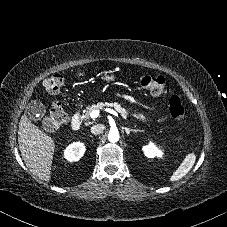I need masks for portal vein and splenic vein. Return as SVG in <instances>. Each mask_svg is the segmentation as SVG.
I'll use <instances>...</instances> for the list:
<instances>
[{
	"instance_id": "obj_1",
	"label": "portal vein and splenic vein",
	"mask_w": 227,
	"mask_h": 227,
	"mask_svg": "<svg viewBox=\"0 0 227 227\" xmlns=\"http://www.w3.org/2000/svg\"><path fill=\"white\" fill-rule=\"evenodd\" d=\"M106 111L118 117V113L115 112L113 109H106ZM98 116H99V110H94V111H92V112L90 113V117H91L92 119H95V118H97Z\"/></svg>"
}]
</instances>
